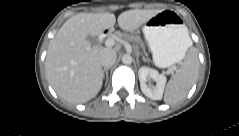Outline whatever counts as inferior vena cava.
<instances>
[{"instance_id": "inferior-vena-cava-1", "label": "inferior vena cava", "mask_w": 239, "mask_h": 136, "mask_svg": "<svg viewBox=\"0 0 239 136\" xmlns=\"http://www.w3.org/2000/svg\"><path fill=\"white\" fill-rule=\"evenodd\" d=\"M117 59V54L114 50L105 48L99 53V61L100 64L107 68L111 67Z\"/></svg>"}]
</instances>
